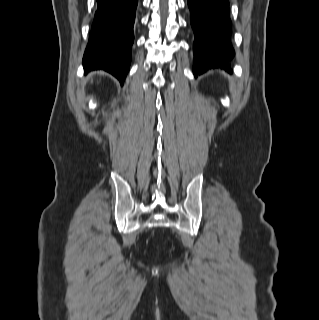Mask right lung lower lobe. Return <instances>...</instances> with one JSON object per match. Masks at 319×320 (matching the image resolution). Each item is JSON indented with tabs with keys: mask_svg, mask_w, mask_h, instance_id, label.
<instances>
[{
	"mask_svg": "<svg viewBox=\"0 0 319 320\" xmlns=\"http://www.w3.org/2000/svg\"><path fill=\"white\" fill-rule=\"evenodd\" d=\"M96 1L97 11L83 57L84 70H105L123 84L131 62L138 0Z\"/></svg>",
	"mask_w": 319,
	"mask_h": 320,
	"instance_id": "98d812e1",
	"label": "right lung lower lobe"
}]
</instances>
